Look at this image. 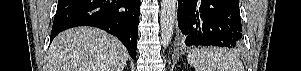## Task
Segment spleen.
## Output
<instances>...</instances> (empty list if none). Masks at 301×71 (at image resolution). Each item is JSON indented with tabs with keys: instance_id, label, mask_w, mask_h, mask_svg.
Listing matches in <instances>:
<instances>
[{
	"instance_id": "spleen-1",
	"label": "spleen",
	"mask_w": 301,
	"mask_h": 71,
	"mask_svg": "<svg viewBox=\"0 0 301 71\" xmlns=\"http://www.w3.org/2000/svg\"><path fill=\"white\" fill-rule=\"evenodd\" d=\"M187 60L196 71H244L239 58L223 48L196 49L188 54Z\"/></svg>"
}]
</instances>
